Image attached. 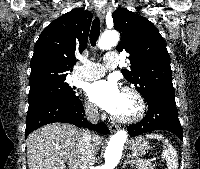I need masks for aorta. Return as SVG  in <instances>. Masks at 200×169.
<instances>
[{"mask_svg":"<svg viewBox=\"0 0 200 169\" xmlns=\"http://www.w3.org/2000/svg\"><path fill=\"white\" fill-rule=\"evenodd\" d=\"M118 42V32L107 31L102 34L98 46L101 50H108L115 47ZM127 137V131L120 129L110 138L104 154L105 162L99 169H114L118 165Z\"/></svg>","mask_w":200,"mask_h":169,"instance_id":"obj_1","label":"aorta"}]
</instances>
